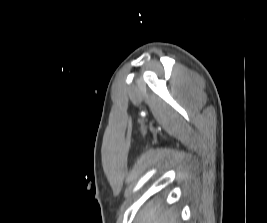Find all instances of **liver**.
Returning a JSON list of instances; mask_svg holds the SVG:
<instances>
[{
  "label": "liver",
  "mask_w": 267,
  "mask_h": 223,
  "mask_svg": "<svg viewBox=\"0 0 267 223\" xmlns=\"http://www.w3.org/2000/svg\"><path fill=\"white\" fill-rule=\"evenodd\" d=\"M177 215L171 209H163L160 203H148L141 212L138 223H177Z\"/></svg>",
  "instance_id": "obj_1"
}]
</instances>
